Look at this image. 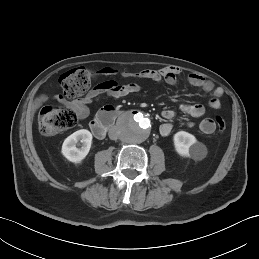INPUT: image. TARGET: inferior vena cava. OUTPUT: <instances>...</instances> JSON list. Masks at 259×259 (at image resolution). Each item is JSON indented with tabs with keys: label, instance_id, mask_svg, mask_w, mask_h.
<instances>
[{
	"label": "inferior vena cava",
	"instance_id": "inferior-vena-cava-1",
	"mask_svg": "<svg viewBox=\"0 0 259 259\" xmlns=\"http://www.w3.org/2000/svg\"><path fill=\"white\" fill-rule=\"evenodd\" d=\"M109 137H110V139H112V140H116V139L118 138V135H117V132H116L115 129H111V130L109 131Z\"/></svg>",
	"mask_w": 259,
	"mask_h": 259
}]
</instances>
